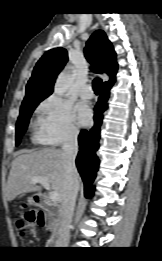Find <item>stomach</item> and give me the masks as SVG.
Returning a JSON list of instances; mask_svg holds the SVG:
<instances>
[{
  "instance_id": "1",
  "label": "stomach",
  "mask_w": 162,
  "mask_h": 261,
  "mask_svg": "<svg viewBox=\"0 0 162 261\" xmlns=\"http://www.w3.org/2000/svg\"><path fill=\"white\" fill-rule=\"evenodd\" d=\"M30 203H32L33 202V200H32V198H29V200H28Z\"/></svg>"
}]
</instances>
